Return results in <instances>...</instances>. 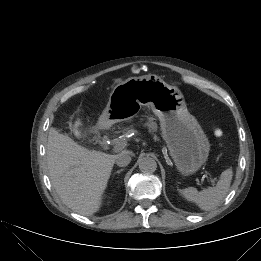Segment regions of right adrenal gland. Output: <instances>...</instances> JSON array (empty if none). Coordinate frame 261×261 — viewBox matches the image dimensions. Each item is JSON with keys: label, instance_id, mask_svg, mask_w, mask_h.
<instances>
[{"label": "right adrenal gland", "instance_id": "1", "mask_svg": "<svg viewBox=\"0 0 261 261\" xmlns=\"http://www.w3.org/2000/svg\"><path fill=\"white\" fill-rule=\"evenodd\" d=\"M122 171H123V169H120V170H117L116 173L119 174Z\"/></svg>", "mask_w": 261, "mask_h": 261}]
</instances>
